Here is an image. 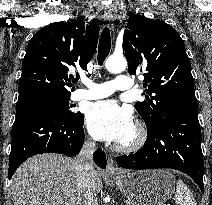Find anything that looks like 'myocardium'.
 Here are the masks:
<instances>
[{
    "instance_id": "f54148a6",
    "label": "myocardium",
    "mask_w": 212,
    "mask_h": 205,
    "mask_svg": "<svg viewBox=\"0 0 212 205\" xmlns=\"http://www.w3.org/2000/svg\"><path fill=\"white\" fill-rule=\"evenodd\" d=\"M147 128L142 123H136L134 135L128 142H120L117 149L121 152H135L141 149L147 141Z\"/></svg>"
}]
</instances>
